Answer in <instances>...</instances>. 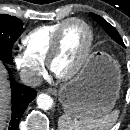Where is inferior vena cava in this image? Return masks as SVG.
Instances as JSON below:
<instances>
[{"label": "inferior vena cava", "instance_id": "inferior-vena-cava-1", "mask_svg": "<svg viewBox=\"0 0 130 130\" xmlns=\"http://www.w3.org/2000/svg\"><path fill=\"white\" fill-rule=\"evenodd\" d=\"M20 76L22 82L31 87L39 86L42 83L41 76L32 71L25 70L24 72L21 73Z\"/></svg>", "mask_w": 130, "mask_h": 130}]
</instances>
